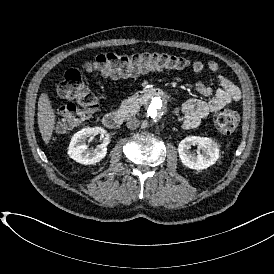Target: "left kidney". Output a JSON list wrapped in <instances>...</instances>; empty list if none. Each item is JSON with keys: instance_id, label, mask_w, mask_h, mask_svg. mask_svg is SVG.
Returning a JSON list of instances; mask_svg holds the SVG:
<instances>
[{"instance_id": "obj_1", "label": "left kidney", "mask_w": 274, "mask_h": 274, "mask_svg": "<svg viewBox=\"0 0 274 274\" xmlns=\"http://www.w3.org/2000/svg\"><path fill=\"white\" fill-rule=\"evenodd\" d=\"M197 145L202 153L193 154L191 146ZM181 162L188 168L195 170L206 169L219 159V144L211 138L187 136L178 145Z\"/></svg>"}]
</instances>
